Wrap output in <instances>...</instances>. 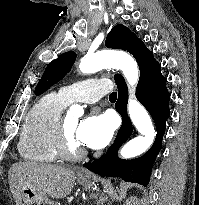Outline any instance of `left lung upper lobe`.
I'll return each instance as SVG.
<instances>
[{
  "mask_svg": "<svg viewBox=\"0 0 199 205\" xmlns=\"http://www.w3.org/2000/svg\"><path fill=\"white\" fill-rule=\"evenodd\" d=\"M136 37L124 25L118 24L112 28L106 37L105 45L107 48L127 50L132 40ZM76 59V53L73 51L61 54L53 60L45 69L39 83L35 88V95L39 96L51 86L60 81L71 69ZM120 74H116L117 77Z\"/></svg>",
  "mask_w": 199,
  "mask_h": 205,
  "instance_id": "1",
  "label": "left lung upper lobe"
}]
</instances>
